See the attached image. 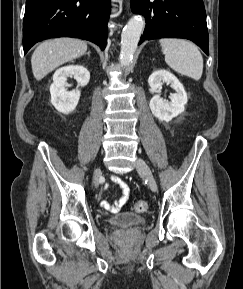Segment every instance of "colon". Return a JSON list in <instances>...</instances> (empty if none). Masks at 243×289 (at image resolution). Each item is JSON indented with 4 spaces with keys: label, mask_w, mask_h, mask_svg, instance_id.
I'll return each mask as SVG.
<instances>
[{
    "label": "colon",
    "mask_w": 243,
    "mask_h": 289,
    "mask_svg": "<svg viewBox=\"0 0 243 289\" xmlns=\"http://www.w3.org/2000/svg\"><path fill=\"white\" fill-rule=\"evenodd\" d=\"M134 209L138 213H144L148 209V204L146 201H143V200L137 201L134 205Z\"/></svg>",
    "instance_id": "obj_1"
}]
</instances>
